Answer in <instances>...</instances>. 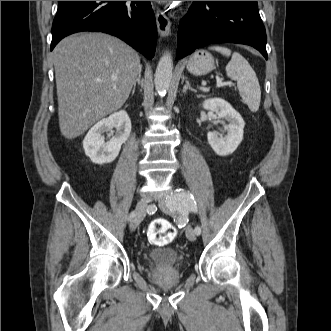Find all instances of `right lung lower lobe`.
<instances>
[{
	"label": "right lung lower lobe",
	"instance_id": "obj_1",
	"mask_svg": "<svg viewBox=\"0 0 331 331\" xmlns=\"http://www.w3.org/2000/svg\"><path fill=\"white\" fill-rule=\"evenodd\" d=\"M80 31L114 35L147 58L154 56L157 29L150 1H59L51 50L65 36Z\"/></svg>",
	"mask_w": 331,
	"mask_h": 331
}]
</instances>
